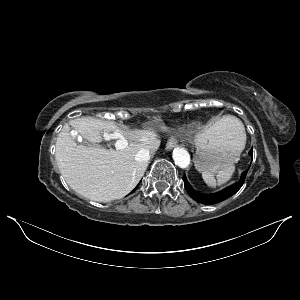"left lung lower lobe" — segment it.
Returning a JSON list of instances; mask_svg holds the SVG:
<instances>
[{
	"mask_svg": "<svg viewBox=\"0 0 300 300\" xmlns=\"http://www.w3.org/2000/svg\"><path fill=\"white\" fill-rule=\"evenodd\" d=\"M249 154L252 155V149L249 151ZM248 170L244 171L241 174V178L238 182L234 183L233 185L213 194H201L198 193L193 189V187L189 184L187 181L186 176H183V181H184V186L186 188V191L188 194L191 196L192 199L195 201L205 204V205H212V204H217L219 202H222L223 200L231 197L235 193L238 192V190L242 187L246 175H247Z\"/></svg>",
	"mask_w": 300,
	"mask_h": 300,
	"instance_id": "0a47b994",
	"label": "left lung lower lobe"
}]
</instances>
